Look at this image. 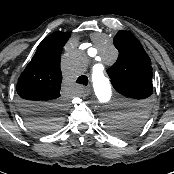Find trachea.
I'll use <instances>...</instances> for the list:
<instances>
[{
  "label": "trachea",
  "mask_w": 174,
  "mask_h": 174,
  "mask_svg": "<svg viewBox=\"0 0 174 174\" xmlns=\"http://www.w3.org/2000/svg\"><path fill=\"white\" fill-rule=\"evenodd\" d=\"M76 83L83 84L86 86L88 84V77L85 75H81L78 77Z\"/></svg>",
  "instance_id": "1"
}]
</instances>
